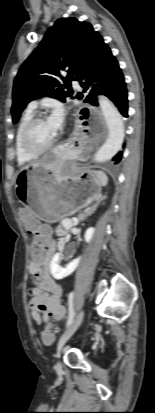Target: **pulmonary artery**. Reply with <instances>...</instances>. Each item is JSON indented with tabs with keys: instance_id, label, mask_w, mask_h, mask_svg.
Returning <instances> with one entry per match:
<instances>
[{
	"instance_id": "1",
	"label": "pulmonary artery",
	"mask_w": 155,
	"mask_h": 413,
	"mask_svg": "<svg viewBox=\"0 0 155 413\" xmlns=\"http://www.w3.org/2000/svg\"><path fill=\"white\" fill-rule=\"evenodd\" d=\"M72 83L79 88V83L76 80H72ZM38 105V102L36 100L32 101L28 105V109L34 110Z\"/></svg>"
}]
</instances>
